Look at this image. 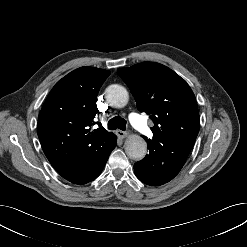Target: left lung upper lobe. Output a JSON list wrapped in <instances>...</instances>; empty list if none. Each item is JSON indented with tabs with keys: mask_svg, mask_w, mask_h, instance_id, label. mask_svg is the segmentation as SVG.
<instances>
[{
	"mask_svg": "<svg viewBox=\"0 0 247 247\" xmlns=\"http://www.w3.org/2000/svg\"><path fill=\"white\" fill-rule=\"evenodd\" d=\"M117 72L139 111L153 120V141L162 145L182 142L193 147L199 132V112L194 93L184 79L155 62L119 68Z\"/></svg>",
	"mask_w": 247,
	"mask_h": 247,
	"instance_id": "5c2ea615",
	"label": "left lung upper lobe"
}]
</instances>
